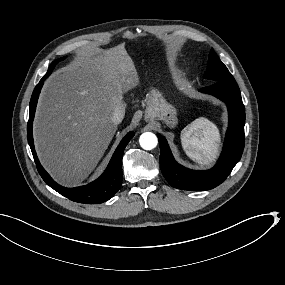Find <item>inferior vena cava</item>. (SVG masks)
<instances>
[{"label":"inferior vena cava","instance_id":"602c4592","mask_svg":"<svg viewBox=\"0 0 285 285\" xmlns=\"http://www.w3.org/2000/svg\"><path fill=\"white\" fill-rule=\"evenodd\" d=\"M123 118H124V112L121 109H118L114 112L112 116V122L117 125L121 123Z\"/></svg>","mask_w":285,"mask_h":285}]
</instances>
